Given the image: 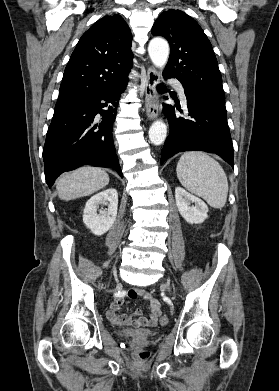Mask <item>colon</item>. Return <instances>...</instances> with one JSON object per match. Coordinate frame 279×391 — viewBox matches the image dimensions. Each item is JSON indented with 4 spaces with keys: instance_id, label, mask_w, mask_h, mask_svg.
Here are the masks:
<instances>
[{
    "instance_id": "colon-1",
    "label": "colon",
    "mask_w": 279,
    "mask_h": 391,
    "mask_svg": "<svg viewBox=\"0 0 279 391\" xmlns=\"http://www.w3.org/2000/svg\"><path fill=\"white\" fill-rule=\"evenodd\" d=\"M160 322H161V324H166L168 322V318L166 316H162L160 318ZM138 356H139L140 359H145V358L148 357V352L141 351V352L138 353Z\"/></svg>"
}]
</instances>
